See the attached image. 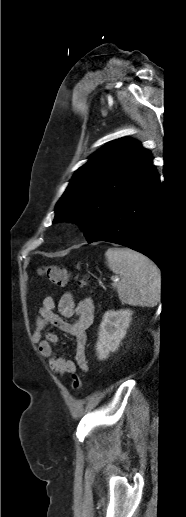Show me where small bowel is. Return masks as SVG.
I'll list each match as a JSON object with an SVG mask.
<instances>
[{"label": "small bowel", "mask_w": 186, "mask_h": 517, "mask_svg": "<svg viewBox=\"0 0 186 517\" xmlns=\"http://www.w3.org/2000/svg\"><path fill=\"white\" fill-rule=\"evenodd\" d=\"M94 310L95 307L91 298L86 297L75 303L71 293H64L57 306L51 296L43 299L35 321L33 339L38 343L41 356L48 360L52 372L66 375L74 373L77 367L83 371L88 370L86 330L93 322ZM71 318H75L74 322L66 321ZM48 327L56 328L75 339L74 361L53 354V345L58 343L59 338L53 331L45 332Z\"/></svg>", "instance_id": "obj_1"}]
</instances>
